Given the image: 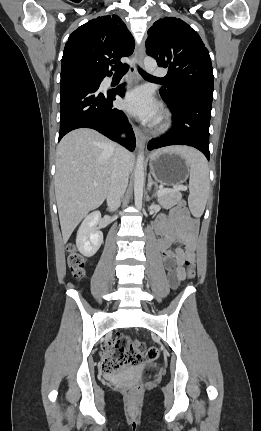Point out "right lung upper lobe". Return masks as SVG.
Returning a JSON list of instances; mask_svg holds the SVG:
<instances>
[{"label": "right lung upper lobe", "instance_id": "obj_1", "mask_svg": "<svg viewBox=\"0 0 261 431\" xmlns=\"http://www.w3.org/2000/svg\"><path fill=\"white\" fill-rule=\"evenodd\" d=\"M134 39L117 15L92 19L68 38L63 52L61 73L82 70L97 76L112 74L110 65L132 54Z\"/></svg>", "mask_w": 261, "mask_h": 431}]
</instances>
